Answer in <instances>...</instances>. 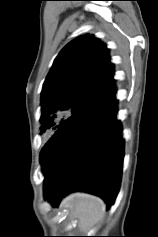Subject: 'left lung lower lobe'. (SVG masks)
Returning a JSON list of instances; mask_svg holds the SVG:
<instances>
[{"instance_id": "obj_1", "label": "left lung lower lobe", "mask_w": 158, "mask_h": 237, "mask_svg": "<svg viewBox=\"0 0 158 237\" xmlns=\"http://www.w3.org/2000/svg\"><path fill=\"white\" fill-rule=\"evenodd\" d=\"M112 87L85 104L57 129L40 153L47 199L57 206L72 191H86L108 204L116 199L124 145Z\"/></svg>"}]
</instances>
